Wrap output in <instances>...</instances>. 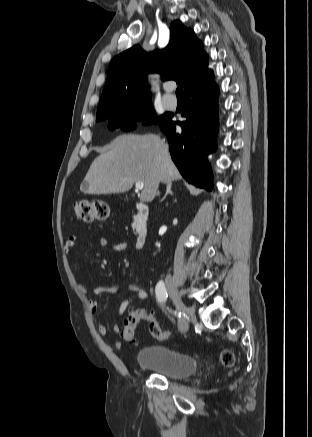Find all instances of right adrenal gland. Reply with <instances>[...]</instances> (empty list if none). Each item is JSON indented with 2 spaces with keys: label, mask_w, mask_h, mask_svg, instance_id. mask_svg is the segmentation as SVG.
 <instances>
[{
  "label": "right adrenal gland",
  "mask_w": 312,
  "mask_h": 437,
  "mask_svg": "<svg viewBox=\"0 0 312 437\" xmlns=\"http://www.w3.org/2000/svg\"><path fill=\"white\" fill-rule=\"evenodd\" d=\"M168 194L173 195V192L171 190V184H167L166 193H165L164 197L161 199V201H164Z\"/></svg>",
  "instance_id": "right-adrenal-gland-1"
}]
</instances>
